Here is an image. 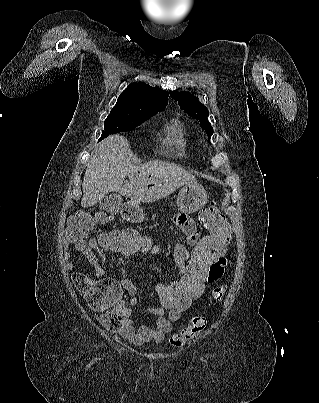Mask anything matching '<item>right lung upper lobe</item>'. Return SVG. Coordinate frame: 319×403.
<instances>
[{
    "label": "right lung upper lobe",
    "mask_w": 319,
    "mask_h": 403,
    "mask_svg": "<svg viewBox=\"0 0 319 403\" xmlns=\"http://www.w3.org/2000/svg\"><path fill=\"white\" fill-rule=\"evenodd\" d=\"M168 92L145 83L130 84L119 96L112 110L136 118H146L164 110Z\"/></svg>",
    "instance_id": "1"
}]
</instances>
